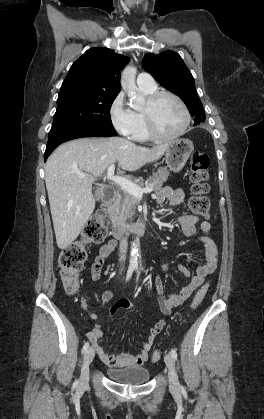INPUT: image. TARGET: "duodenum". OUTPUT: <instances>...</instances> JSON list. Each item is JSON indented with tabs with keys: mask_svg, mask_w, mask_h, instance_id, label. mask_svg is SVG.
<instances>
[{
	"mask_svg": "<svg viewBox=\"0 0 264 419\" xmlns=\"http://www.w3.org/2000/svg\"><path fill=\"white\" fill-rule=\"evenodd\" d=\"M118 198L116 191L108 194L102 202L101 210L109 214L111 220V234L116 239H123L127 235L142 236L147 232V224L144 221H137L132 224H125L122 221L116 219L112 215V207Z\"/></svg>",
	"mask_w": 264,
	"mask_h": 419,
	"instance_id": "410a0bca",
	"label": "duodenum"
}]
</instances>
